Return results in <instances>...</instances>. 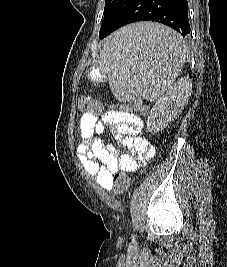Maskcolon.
Wrapping results in <instances>:
<instances>
[{"mask_svg":"<svg viewBox=\"0 0 227 267\" xmlns=\"http://www.w3.org/2000/svg\"><path fill=\"white\" fill-rule=\"evenodd\" d=\"M103 104L104 109H118L119 107L122 113H131L132 116H143V119H146V116L151 112L149 104H125L124 100H111L110 104H105L103 100L93 101L90 97L86 96L81 97L79 100L80 108L93 114L99 113ZM112 178H114L115 192L117 194L123 193L130 182V169H119V173H112Z\"/></svg>","mask_w":227,"mask_h":267,"instance_id":"colon-1","label":"colon"}]
</instances>
